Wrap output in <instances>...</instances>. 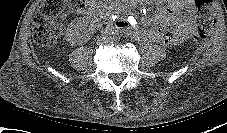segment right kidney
I'll return each mask as SVG.
<instances>
[{"mask_svg": "<svg viewBox=\"0 0 227 133\" xmlns=\"http://www.w3.org/2000/svg\"><path fill=\"white\" fill-rule=\"evenodd\" d=\"M82 31V26L79 21H72L67 30L68 36L71 38H78L80 32Z\"/></svg>", "mask_w": 227, "mask_h": 133, "instance_id": "right-kidney-1", "label": "right kidney"}]
</instances>
